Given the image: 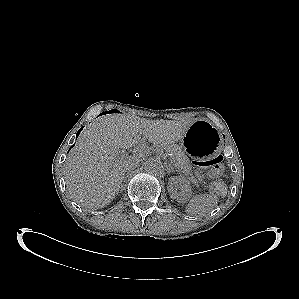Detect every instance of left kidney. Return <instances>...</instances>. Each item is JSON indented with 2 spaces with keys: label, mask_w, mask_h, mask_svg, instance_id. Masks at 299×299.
I'll return each instance as SVG.
<instances>
[{
  "label": "left kidney",
  "mask_w": 299,
  "mask_h": 299,
  "mask_svg": "<svg viewBox=\"0 0 299 299\" xmlns=\"http://www.w3.org/2000/svg\"><path fill=\"white\" fill-rule=\"evenodd\" d=\"M167 189L170 196L180 203H184L192 194L189 182L181 176L170 177Z\"/></svg>",
  "instance_id": "5707ae66"
}]
</instances>
